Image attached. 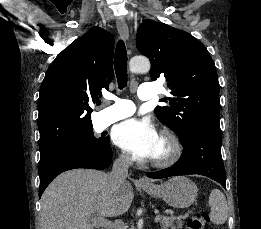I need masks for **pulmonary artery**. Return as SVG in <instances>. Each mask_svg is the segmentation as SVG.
Listing matches in <instances>:
<instances>
[{
  "label": "pulmonary artery",
  "mask_w": 261,
  "mask_h": 229,
  "mask_svg": "<svg viewBox=\"0 0 261 229\" xmlns=\"http://www.w3.org/2000/svg\"><path fill=\"white\" fill-rule=\"evenodd\" d=\"M156 88V84L142 85L137 89V96L141 100L151 99L154 96L153 89ZM112 99L115 103L102 111V115L106 123L110 124L117 122L134 113L135 108L130 101L119 99L115 96H112Z\"/></svg>",
  "instance_id": "e3ab8cb5"
}]
</instances>
